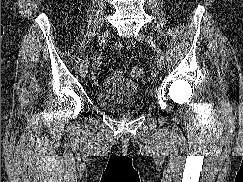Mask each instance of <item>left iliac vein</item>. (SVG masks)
<instances>
[{"instance_id":"1","label":"left iliac vein","mask_w":243,"mask_h":182,"mask_svg":"<svg viewBox=\"0 0 243 182\" xmlns=\"http://www.w3.org/2000/svg\"><path fill=\"white\" fill-rule=\"evenodd\" d=\"M136 39L140 42H144V43H149L152 46H154L155 51H156V63H157V68L158 70H161L162 67L164 66V53L163 51L160 49V47L155 43L154 39L152 36L147 35V34H138L136 36Z\"/></svg>"}]
</instances>
